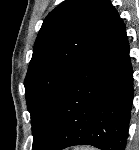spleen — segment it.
<instances>
[{"label": "spleen", "mask_w": 139, "mask_h": 150, "mask_svg": "<svg viewBox=\"0 0 139 150\" xmlns=\"http://www.w3.org/2000/svg\"><path fill=\"white\" fill-rule=\"evenodd\" d=\"M82 150H93V149H90V148H85V149H82Z\"/></svg>", "instance_id": "obj_1"}]
</instances>
